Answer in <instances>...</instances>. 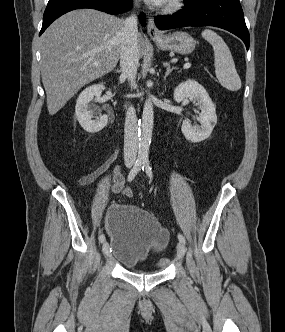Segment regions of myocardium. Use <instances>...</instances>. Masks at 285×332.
<instances>
[{"instance_id":"obj_1","label":"myocardium","mask_w":285,"mask_h":332,"mask_svg":"<svg viewBox=\"0 0 285 332\" xmlns=\"http://www.w3.org/2000/svg\"><path fill=\"white\" fill-rule=\"evenodd\" d=\"M184 5V0H168L163 8L164 13H174Z\"/></svg>"}]
</instances>
